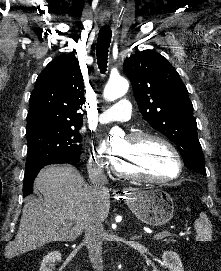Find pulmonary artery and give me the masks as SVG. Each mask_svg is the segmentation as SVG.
<instances>
[{
    "mask_svg": "<svg viewBox=\"0 0 221 271\" xmlns=\"http://www.w3.org/2000/svg\"><path fill=\"white\" fill-rule=\"evenodd\" d=\"M133 108L130 102H115V107H108V112H94V117H102L101 121L106 126L107 122H135V117H131Z\"/></svg>",
    "mask_w": 221,
    "mask_h": 271,
    "instance_id": "obj_1",
    "label": "pulmonary artery"
}]
</instances>
